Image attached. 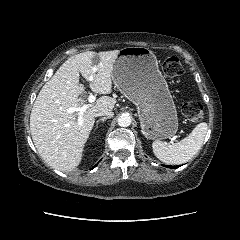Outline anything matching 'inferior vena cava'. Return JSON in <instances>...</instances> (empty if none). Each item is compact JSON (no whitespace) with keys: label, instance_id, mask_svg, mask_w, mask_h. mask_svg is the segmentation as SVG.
Returning <instances> with one entry per match:
<instances>
[{"label":"inferior vena cava","instance_id":"inferior-vena-cava-1","mask_svg":"<svg viewBox=\"0 0 240 240\" xmlns=\"http://www.w3.org/2000/svg\"><path fill=\"white\" fill-rule=\"evenodd\" d=\"M114 113L110 110H107V111H99L95 114V117H98V116H106L108 118H111L113 117Z\"/></svg>","mask_w":240,"mask_h":240}]
</instances>
